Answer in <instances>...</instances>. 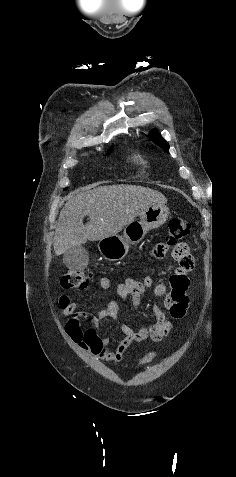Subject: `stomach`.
<instances>
[{
    "instance_id": "0dacf381",
    "label": "stomach",
    "mask_w": 236,
    "mask_h": 477,
    "mask_svg": "<svg viewBox=\"0 0 236 477\" xmlns=\"http://www.w3.org/2000/svg\"><path fill=\"white\" fill-rule=\"evenodd\" d=\"M140 220H134L124 229L123 236H109L98 243L100 253L109 261L123 259L129 250L130 244L141 242L149 230L163 225L168 216L169 209L165 205H152L141 212Z\"/></svg>"
}]
</instances>
